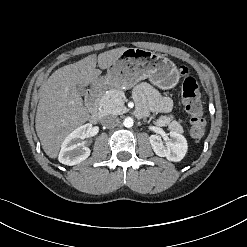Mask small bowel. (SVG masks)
<instances>
[{
  "instance_id": "1",
  "label": "small bowel",
  "mask_w": 247,
  "mask_h": 247,
  "mask_svg": "<svg viewBox=\"0 0 247 247\" xmlns=\"http://www.w3.org/2000/svg\"><path fill=\"white\" fill-rule=\"evenodd\" d=\"M134 98L139 115H145L148 110L163 113L169 112L172 106L169 98L160 95L147 83H142L135 87Z\"/></svg>"
}]
</instances>
